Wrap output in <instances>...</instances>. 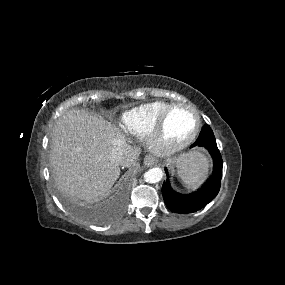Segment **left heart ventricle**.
Instances as JSON below:
<instances>
[{
    "label": "left heart ventricle",
    "mask_w": 285,
    "mask_h": 285,
    "mask_svg": "<svg viewBox=\"0 0 285 285\" xmlns=\"http://www.w3.org/2000/svg\"><path fill=\"white\" fill-rule=\"evenodd\" d=\"M196 126L195 115L186 109H177L169 116L164 130L168 142H179L188 137Z\"/></svg>",
    "instance_id": "left-heart-ventricle-1"
}]
</instances>
